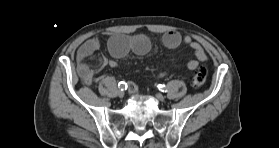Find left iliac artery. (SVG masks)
Here are the masks:
<instances>
[{
	"instance_id": "obj_1",
	"label": "left iliac artery",
	"mask_w": 279,
	"mask_h": 148,
	"mask_svg": "<svg viewBox=\"0 0 279 148\" xmlns=\"http://www.w3.org/2000/svg\"><path fill=\"white\" fill-rule=\"evenodd\" d=\"M157 87L161 92H167V90H168V88L165 84H159Z\"/></svg>"
}]
</instances>
